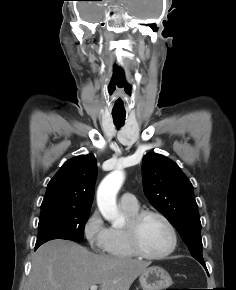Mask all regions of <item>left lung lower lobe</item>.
<instances>
[{"label":"left lung lower lobe","mask_w":236,"mask_h":290,"mask_svg":"<svg viewBox=\"0 0 236 290\" xmlns=\"http://www.w3.org/2000/svg\"><path fill=\"white\" fill-rule=\"evenodd\" d=\"M201 264L205 267V263L202 262Z\"/></svg>","instance_id":"left-lung-lower-lobe-1"}]
</instances>
